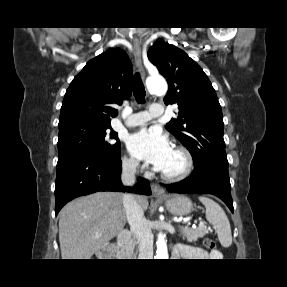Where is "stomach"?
<instances>
[{"label": "stomach", "instance_id": "obj_1", "mask_svg": "<svg viewBox=\"0 0 287 287\" xmlns=\"http://www.w3.org/2000/svg\"><path fill=\"white\" fill-rule=\"evenodd\" d=\"M162 198L165 200L167 210L174 215H188L193 210L191 200L184 195H167Z\"/></svg>", "mask_w": 287, "mask_h": 287}]
</instances>
